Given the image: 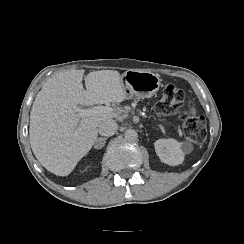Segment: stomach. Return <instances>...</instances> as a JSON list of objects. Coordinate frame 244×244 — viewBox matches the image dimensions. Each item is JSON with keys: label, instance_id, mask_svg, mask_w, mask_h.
Here are the masks:
<instances>
[{"label": "stomach", "instance_id": "0dacf381", "mask_svg": "<svg viewBox=\"0 0 244 244\" xmlns=\"http://www.w3.org/2000/svg\"><path fill=\"white\" fill-rule=\"evenodd\" d=\"M122 82L129 97L137 96L145 99L158 93L161 86V79L158 74L130 69L122 75Z\"/></svg>", "mask_w": 244, "mask_h": 244}]
</instances>
